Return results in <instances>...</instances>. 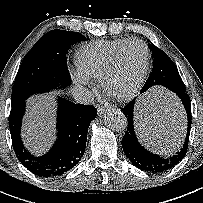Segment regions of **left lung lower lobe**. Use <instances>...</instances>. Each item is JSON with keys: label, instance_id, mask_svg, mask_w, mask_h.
Listing matches in <instances>:
<instances>
[{"label": "left lung lower lobe", "instance_id": "1", "mask_svg": "<svg viewBox=\"0 0 203 203\" xmlns=\"http://www.w3.org/2000/svg\"><path fill=\"white\" fill-rule=\"evenodd\" d=\"M144 91L145 90L142 88L141 92H144ZM173 92L176 93V95L179 97V99L183 104L184 110L187 114L188 127H187L186 139L182 148L180 149L179 152L171 156H160V155L153 154L150 151L146 150L138 142L134 132V126H133V111H134L133 109H134L135 99H133L131 102H129L125 107L121 109L128 121L127 131L123 136V139L121 142L124 153L126 154V156L129 158V160L132 162L134 166H136L137 168L143 171L150 172V173H161V172L167 171L172 167H174L176 164H178L186 155V152L188 149L190 128H191L190 97L186 93V91H183V88L175 89V91Z\"/></svg>", "mask_w": 203, "mask_h": 203}]
</instances>
